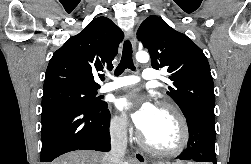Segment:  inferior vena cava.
<instances>
[{
  "label": "inferior vena cava",
  "instance_id": "1",
  "mask_svg": "<svg viewBox=\"0 0 251 164\" xmlns=\"http://www.w3.org/2000/svg\"><path fill=\"white\" fill-rule=\"evenodd\" d=\"M127 150V120L118 121L111 129L110 164H124V155Z\"/></svg>",
  "mask_w": 251,
  "mask_h": 164
}]
</instances>
